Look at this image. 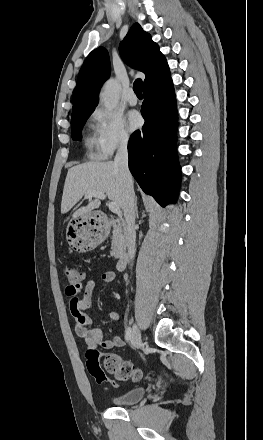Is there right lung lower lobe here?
Segmentation results:
<instances>
[{"label":"right lung lower lobe","mask_w":263,"mask_h":440,"mask_svg":"<svg viewBox=\"0 0 263 440\" xmlns=\"http://www.w3.org/2000/svg\"><path fill=\"white\" fill-rule=\"evenodd\" d=\"M145 124L128 144L129 169L142 188L161 205L174 203L180 186L176 155V103L170 73L144 88Z\"/></svg>","instance_id":"obj_1"}]
</instances>
